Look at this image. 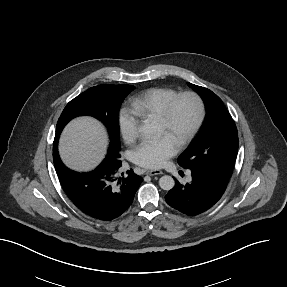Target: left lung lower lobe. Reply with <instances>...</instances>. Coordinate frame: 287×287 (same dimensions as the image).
<instances>
[{
	"mask_svg": "<svg viewBox=\"0 0 287 287\" xmlns=\"http://www.w3.org/2000/svg\"><path fill=\"white\" fill-rule=\"evenodd\" d=\"M192 181L185 185L176 180L165 196L174 209L194 216L210 209L222 197L229 178L210 169L191 168Z\"/></svg>",
	"mask_w": 287,
	"mask_h": 287,
	"instance_id": "obj_1",
	"label": "left lung lower lobe"
}]
</instances>
